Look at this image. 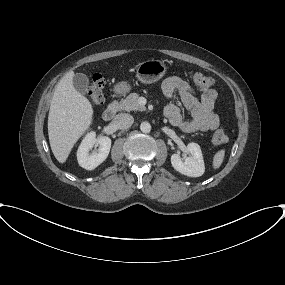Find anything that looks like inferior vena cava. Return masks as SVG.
Segmentation results:
<instances>
[{
    "label": "inferior vena cava",
    "mask_w": 285,
    "mask_h": 285,
    "mask_svg": "<svg viewBox=\"0 0 285 285\" xmlns=\"http://www.w3.org/2000/svg\"><path fill=\"white\" fill-rule=\"evenodd\" d=\"M134 118L127 113H120L114 118V125L119 129H127L132 126Z\"/></svg>",
    "instance_id": "inferior-vena-cava-1"
}]
</instances>
